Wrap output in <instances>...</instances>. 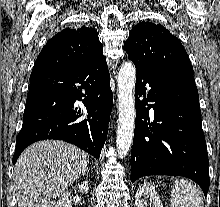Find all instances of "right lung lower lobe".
Listing matches in <instances>:
<instances>
[{
    "label": "right lung lower lobe",
    "instance_id": "1",
    "mask_svg": "<svg viewBox=\"0 0 220 207\" xmlns=\"http://www.w3.org/2000/svg\"><path fill=\"white\" fill-rule=\"evenodd\" d=\"M112 105L105 57L73 70H32L13 164L28 145L45 139L72 143L99 159Z\"/></svg>",
    "mask_w": 220,
    "mask_h": 207
}]
</instances>
